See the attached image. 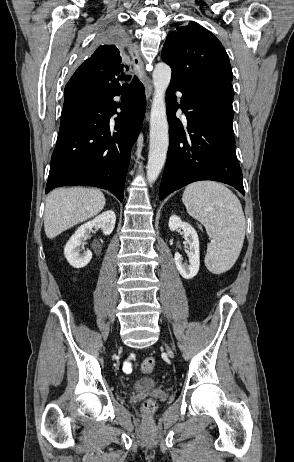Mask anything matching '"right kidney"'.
<instances>
[{
	"instance_id": "obj_1",
	"label": "right kidney",
	"mask_w": 294,
	"mask_h": 462,
	"mask_svg": "<svg viewBox=\"0 0 294 462\" xmlns=\"http://www.w3.org/2000/svg\"><path fill=\"white\" fill-rule=\"evenodd\" d=\"M115 222L116 215L114 211L109 210L80 226L64 248V255L68 263L74 268L85 267L92 259V252L86 250L80 254V251L83 249L84 241L89 237L92 228H101L104 235H110L114 229Z\"/></svg>"
}]
</instances>
